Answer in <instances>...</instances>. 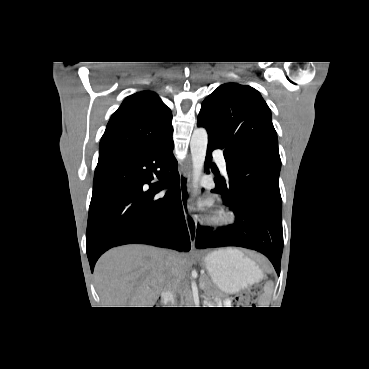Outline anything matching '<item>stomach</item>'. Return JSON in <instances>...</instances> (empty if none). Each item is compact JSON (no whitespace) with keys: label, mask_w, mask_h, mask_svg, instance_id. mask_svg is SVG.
Segmentation results:
<instances>
[{"label":"stomach","mask_w":369,"mask_h":369,"mask_svg":"<svg viewBox=\"0 0 369 369\" xmlns=\"http://www.w3.org/2000/svg\"><path fill=\"white\" fill-rule=\"evenodd\" d=\"M203 261L213 282L228 294L237 293L262 278L256 263L234 249L212 252Z\"/></svg>","instance_id":"stomach-1"}]
</instances>
